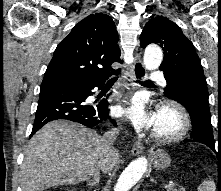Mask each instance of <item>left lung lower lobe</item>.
Wrapping results in <instances>:
<instances>
[{
    "label": "left lung lower lobe",
    "instance_id": "1",
    "mask_svg": "<svg viewBox=\"0 0 221 191\" xmlns=\"http://www.w3.org/2000/svg\"><path fill=\"white\" fill-rule=\"evenodd\" d=\"M178 94L180 100L177 101L189 111L191 116L193 126L191 136L195 138L193 141H196L198 133L207 130V125L211 120L205 76L196 75L188 78L185 83L180 85Z\"/></svg>",
    "mask_w": 221,
    "mask_h": 191
}]
</instances>
